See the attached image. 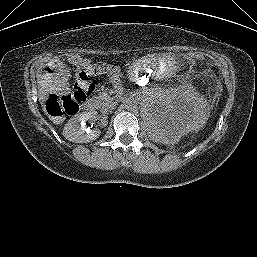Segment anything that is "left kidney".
I'll return each mask as SVG.
<instances>
[{"label":"left kidney","instance_id":"1","mask_svg":"<svg viewBox=\"0 0 257 257\" xmlns=\"http://www.w3.org/2000/svg\"><path fill=\"white\" fill-rule=\"evenodd\" d=\"M203 98L190 88L166 89L153 95L145 106L150 137L172 144L190 131L203 127L207 119Z\"/></svg>","mask_w":257,"mask_h":257}]
</instances>
